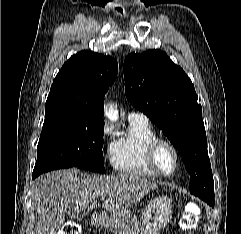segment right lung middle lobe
<instances>
[{"label":"right lung middle lobe","instance_id":"dd1d6c3e","mask_svg":"<svg viewBox=\"0 0 241 234\" xmlns=\"http://www.w3.org/2000/svg\"><path fill=\"white\" fill-rule=\"evenodd\" d=\"M33 172L78 167L105 173L102 142L103 122L83 120L69 109L45 110Z\"/></svg>","mask_w":241,"mask_h":234}]
</instances>
